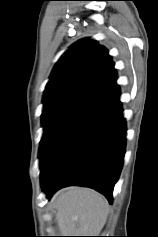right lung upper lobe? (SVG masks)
<instances>
[{
  "instance_id": "cb5924a9",
  "label": "right lung upper lobe",
  "mask_w": 158,
  "mask_h": 237,
  "mask_svg": "<svg viewBox=\"0 0 158 237\" xmlns=\"http://www.w3.org/2000/svg\"><path fill=\"white\" fill-rule=\"evenodd\" d=\"M116 79L108 51L95 40L82 39L55 65L43 102L72 100L84 104L113 85Z\"/></svg>"
}]
</instances>
